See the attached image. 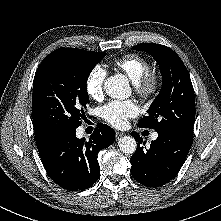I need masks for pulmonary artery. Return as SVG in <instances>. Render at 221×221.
I'll return each mask as SVG.
<instances>
[{"label":"pulmonary artery","instance_id":"1","mask_svg":"<svg viewBox=\"0 0 221 221\" xmlns=\"http://www.w3.org/2000/svg\"><path fill=\"white\" fill-rule=\"evenodd\" d=\"M157 137H158V134L156 132L152 133V135H151L152 140L157 139Z\"/></svg>","mask_w":221,"mask_h":221}]
</instances>
